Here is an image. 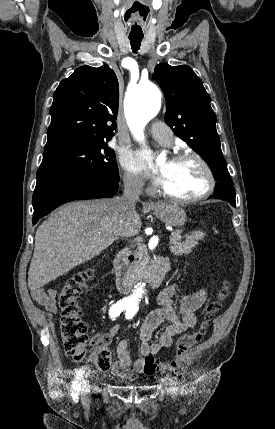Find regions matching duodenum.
<instances>
[{
  "mask_svg": "<svg viewBox=\"0 0 275 429\" xmlns=\"http://www.w3.org/2000/svg\"><path fill=\"white\" fill-rule=\"evenodd\" d=\"M129 253L123 250L117 254L114 259L113 267L116 275V286L122 293H128L133 288L135 279L128 269ZM169 270V263L166 260H158L152 266L149 275L146 277L147 285L155 289L157 288L167 271Z\"/></svg>",
  "mask_w": 275,
  "mask_h": 429,
  "instance_id": "obj_1",
  "label": "duodenum"
}]
</instances>
